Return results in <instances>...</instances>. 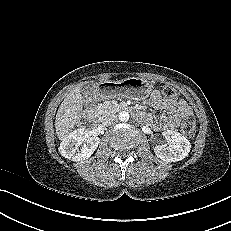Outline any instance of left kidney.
<instances>
[{"label": "left kidney", "instance_id": "left-kidney-1", "mask_svg": "<svg viewBox=\"0 0 231 231\" xmlns=\"http://www.w3.org/2000/svg\"><path fill=\"white\" fill-rule=\"evenodd\" d=\"M163 137L168 145H157L154 147L155 155L165 162H177L188 156L191 144L189 140L179 132L167 130Z\"/></svg>", "mask_w": 231, "mask_h": 231}]
</instances>
